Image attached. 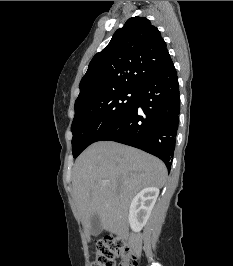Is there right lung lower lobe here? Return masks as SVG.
I'll use <instances>...</instances> for the list:
<instances>
[{"label": "right lung lower lobe", "instance_id": "98d812e1", "mask_svg": "<svg viewBox=\"0 0 233 266\" xmlns=\"http://www.w3.org/2000/svg\"><path fill=\"white\" fill-rule=\"evenodd\" d=\"M179 85L173 62L138 88L132 106L97 141L130 145L160 158L170 169L179 123Z\"/></svg>", "mask_w": 233, "mask_h": 266}]
</instances>
